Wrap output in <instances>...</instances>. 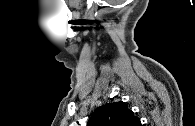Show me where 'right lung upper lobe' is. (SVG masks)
Masks as SVG:
<instances>
[{
  "label": "right lung upper lobe",
  "mask_w": 195,
  "mask_h": 126,
  "mask_svg": "<svg viewBox=\"0 0 195 126\" xmlns=\"http://www.w3.org/2000/svg\"><path fill=\"white\" fill-rule=\"evenodd\" d=\"M87 126H141V122L126 103L120 101L95 109Z\"/></svg>",
  "instance_id": "right-lung-upper-lobe-1"
}]
</instances>
